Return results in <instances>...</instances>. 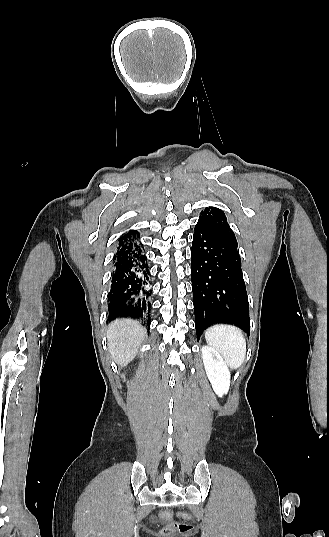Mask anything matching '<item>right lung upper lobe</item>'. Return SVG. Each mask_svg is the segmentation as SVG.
<instances>
[{
	"instance_id": "1",
	"label": "right lung upper lobe",
	"mask_w": 329,
	"mask_h": 537,
	"mask_svg": "<svg viewBox=\"0 0 329 537\" xmlns=\"http://www.w3.org/2000/svg\"><path fill=\"white\" fill-rule=\"evenodd\" d=\"M132 232H135V231H130L129 233H132ZM129 233H127V234H129ZM127 234H125V235H127Z\"/></svg>"
}]
</instances>
